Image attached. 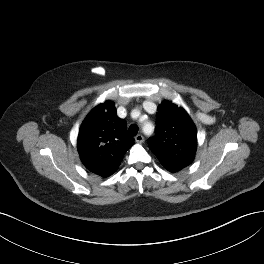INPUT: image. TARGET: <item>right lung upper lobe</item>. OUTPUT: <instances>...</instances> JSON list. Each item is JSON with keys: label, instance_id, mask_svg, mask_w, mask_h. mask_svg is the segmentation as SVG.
<instances>
[{"label": "right lung upper lobe", "instance_id": "right-lung-upper-lobe-1", "mask_svg": "<svg viewBox=\"0 0 264 264\" xmlns=\"http://www.w3.org/2000/svg\"><path fill=\"white\" fill-rule=\"evenodd\" d=\"M133 144L126 132L125 121L118 118L111 101L98 105L88 114L77 140L82 163L89 171L104 178L118 169Z\"/></svg>", "mask_w": 264, "mask_h": 264}]
</instances>
